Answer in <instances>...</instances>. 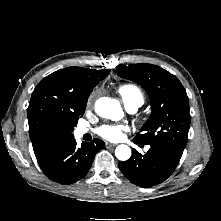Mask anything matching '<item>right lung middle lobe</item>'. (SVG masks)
Returning <instances> with one entry per match:
<instances>
[{
  "mask_svg": "<svg viewBox=\"0 0 221 221\" xmlns=\"http://www.w3.org/2000/svg\"><path fill=\"white\" fill-rule=\"evenodd\" d=\"M85 110L82 111V113L80 114V116H82L84 114ZM77 121H78V118H76L73 122V126H72V130L74 129V127L76 126L77 124Z\"/></svg>",
  "mask_w": 221,
  "mask_h": 221,
  "instance_id": "obj_1",
  "label": "right lung middle lobe"
}]
</instances>
